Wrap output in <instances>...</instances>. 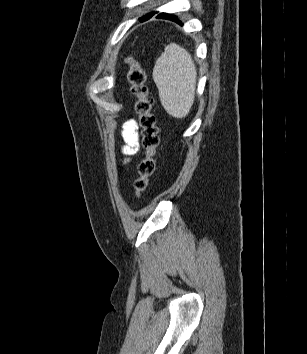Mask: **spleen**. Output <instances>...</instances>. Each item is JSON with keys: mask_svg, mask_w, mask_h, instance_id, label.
Listing matches in <instances>:
<instances>
[{"mask_svg": "<svg viewBox=\"0 0 307 354\" xmlns=\"http://www.w3.org/2000/svg\"><path fill=\"white\" fill-rule=\"evenodd\" d=\"M197 71L191 55L175 43L165 47L156 60L153 79L161 104L168 114L184 118L195 99Z\"/></svg>", "mask_w": 307, "mask_h": 354, "instance_id": "3e777b00", "label": "spleen"}]
</instances>
